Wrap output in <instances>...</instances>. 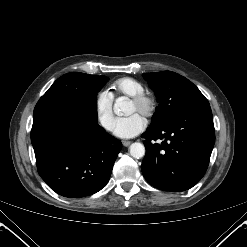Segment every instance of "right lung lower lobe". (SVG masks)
<instances>
[{
  "label": "right lung lower lobe",
  "mask_w": 247,
  "mask_h": 247,
  "mask_svg": "<svg viewBox=\"0 0 247 247\" xmlns=\"http://www.w3.org/2000/svg\"><path fill=\"white\" fill-rule=\"evenodd\" d=\"M97 119L92 97L44 95L36 104L31 142L37 169L57 194L89 196L109 181L122 143Z\"/></svg>",
  "instance_id": "98d812e1"
}]
</instances>
